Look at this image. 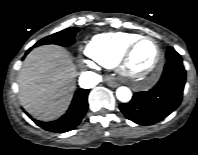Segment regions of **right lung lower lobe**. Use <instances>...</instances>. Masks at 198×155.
Segmentation results:
<instances>
[{
  "label": "right lung lower lobe",
  "mask_w": 198,
  "mask_h": 155,
  "mask_svg": "<svg viewBox=\"0 0 198 155\" xmlns=\"http://www.w3.org/2000/svg\"><path fill=\"white\" fill-rule=\"evenodd\" d=\"M31 49H29L30 51ZM28 51V52H29ZM89 90L82 89L75 92L74 98L70 105L69 110L65 115H63L60 119L52 122H42L33 119L29 116L38 126L41 128L54 132V133H63L74 129L84 117L87 108H88V97Z\"/></svg>",
  "instance_id": "obj_1"
}]
</instances>
